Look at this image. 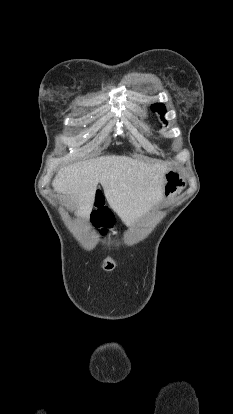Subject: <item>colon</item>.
I'll list each match as a JSON object with an SVG mask.
<instances>
[{"mask_svg": "<svg viewBox=\"0 0 233 414\" xmlns=\"http://www.w3.org/2000/svg\"><path fill=\"white\" fill-rule=\"evenodd\" d=\"M94 223L98 226H102V233L106 232L108 229L112 228L113 220L109 211L100 212L97 211L93 216Z\"/></svg>", "mask_w": 233, "mask_h": 414, "instance_id": "5ec220e1", "label": "colon"}]
</instances>
